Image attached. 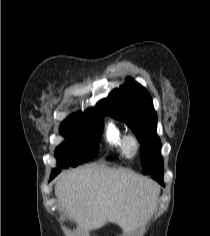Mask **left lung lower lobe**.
Returning a JSON list of instances; mask_svg holds the SVG:
<instances>
[{
  "label": "left lung lower lobe",
  "instance_id": "1",
  "mask_svg": "<svg viewBox=\"0 0 210 236\" xmlns=\"http://www.w3.org/2000/svg\"><path fill=\"white\" fill-rule=\"evenodd\" d=\"M163 172H164L163 166H161L159 169H157L156 171L150 174L151 177L155 179L156 181H158L162 186H164Z\"/></svg>",
  "mask_w": 210,
  "mask_h": 236
}]
</instances>
